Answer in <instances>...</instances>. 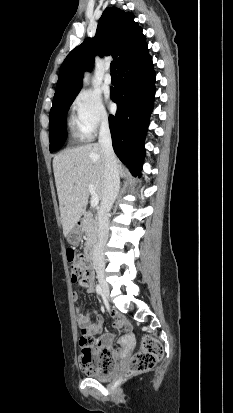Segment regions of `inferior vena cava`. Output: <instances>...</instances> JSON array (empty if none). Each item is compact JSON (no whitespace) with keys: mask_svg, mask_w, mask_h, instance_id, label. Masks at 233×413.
<instances>
[{"mask_svg":"<svg viewBox=\"0 0 233 413\" xmlns=\"http://www.w3.org/2000/svg\"><path fill=\"white\" fill-rule=\"evenodd\" d=\"M99 144L104 152V188L98 212L99 235L93 250V267L98 274H102L105 268L104 249L109 236V212L119 192V171L117 160L112 148V139L108 119L101 122L99 132Z\"/></svg>","mask_w":233,"mask_h":413,"instance_id":"inferior-vena-cava-1","label":"inferior vena cava"}]
</instances>
